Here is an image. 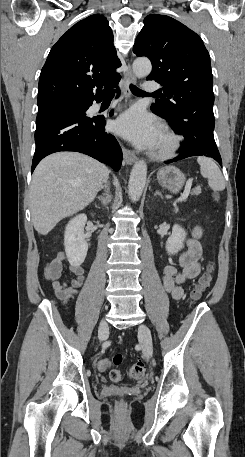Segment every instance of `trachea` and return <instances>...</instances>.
Here are the masks:
<instances>
[{"instance_id":"1","label":"trachea","mask_w":245,"mask_h":457,"mask_svg":"<svg viewBox=\"0 0 245 457\" xmlns=\"http://www.w3.org/2000/svg\"><path fill=\"white\" fill-rule=\"evenodd\" d=\"M130 90L134 95L140 96L142 94L147 95V92H144V90H141L140 88L136 87L133 84H130ZM157 93L154 92L153 95H156ZM114 96V93L108 94V98H112Z\"/></svg>"}]
</instances>
